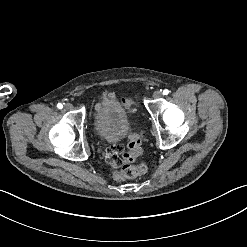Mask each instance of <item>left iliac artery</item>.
<instances>
[{
    "mask_svg": "<svg viewBox=\"0 0 247 247\" xmlns=\"http://www.w3.org/2000/svg\"><path fill=\"white\" fill-rule=\"evenodd\" d=\"M168 93H169L168 89L163 90V95H168Z\"/></svg>",
    "mask_w": 247,
    "mask_h": 247,
    "instance_id": "1",
    "label": "left iliac artery"
}]
</instances>
